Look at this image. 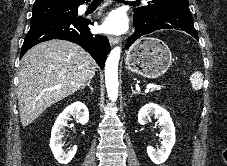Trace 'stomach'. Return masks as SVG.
I'll return each mask as SVG.
<instances>
[{
  "label": "stomach",
  "mask_w": 227,
  "mask_h": 166,
  "mask_svg": "<svg viewBox=\"0 0 227 166\" xmlns=\"http://www.w3.org/2000/svg\"><path fill=\"white\" fill-rule=\"evenodd\" d=\"M172 64L169 47L160 39L144 37L135 42L126 54V68L146 78L162 76Z\"/></svg>",
  "instance_id": "obj_1"
}]
</instances>
